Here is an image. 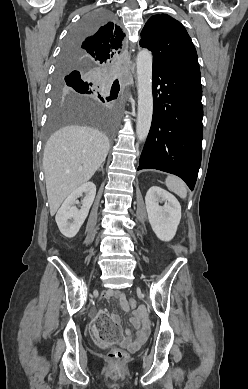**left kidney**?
Listing matches in <instances>:
<instances>
[{"label":"left kidney","instance_id":"left-kidney-1","mask_svg":"<svg viewBox=\"0 0 248 389\" xmlns=\"http://www.w3.org/2000/svg\"><path fill=\"white\" fill-rule=\"evenodd\" d=\"M165 202L163 206L159 203ZM146 210L149 223L162 241H170L176 234L181 220V206L171 193L152 186L145 197Z\"/></svg>","mask_w":248,"mask_h":389}]
</instances>
